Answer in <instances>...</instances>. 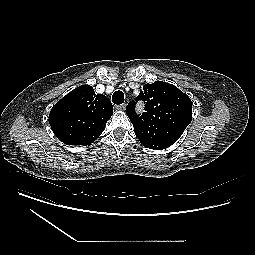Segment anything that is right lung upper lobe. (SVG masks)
<instances>
[{"label":"right lung upper lobe","instance_id":"right-lung-upper-lobe-1","mask_svg":"<svg viewBox=\"0 0 255 255\" xmlns=\"http://www.w3.org/2000/svg\"><path fill=\"white\" fill-rule=\"evenodd\" d=\"M112 114L113 106L106 96L82 85L53 106L49 123L61 142L86 146L100 136Z\"/></svg>","mask_w":255,"mask_h":255}]
</instances>
